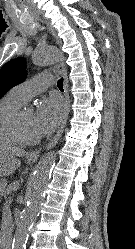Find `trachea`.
<instances>
[{"label":"trachea","instance_id":"obj_1","mask_svg":"<svg viewBox=\"0 0 135 249\" xmlns=\"http://www.w3.org/2000/svg\"><path fill=\"white\" fill-rule=\"evenodd\" d=\"M58 88L63 91V78H61L58 82H57Z\"/></svg>","mask_w":135,"mask_h":249}]
</instances>
